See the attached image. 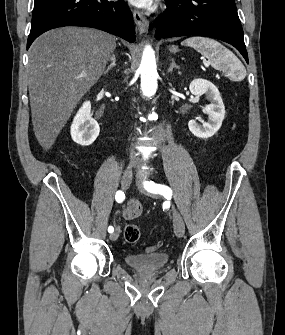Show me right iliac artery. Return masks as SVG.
I'll list each match as a JSON object with an SVG mask.
<instances>
[{
  "instance_id": "1",
  "label": "right iliac artery",
  "mask_w": 285,
  "mask_h": 335,
  "mask_svg": "<svg viewBox=\"0 0 285 335\" xmlns=\"http://www.w3.org/2000/svg\"><path fill=\"white\" fill-rule=\"evenodd\" d=\"M115 199H116V201L118 202V203H122L123 201H124V199H125V194H124V192H122V191H117L116 192V195H115ZM114 231V228L112 227V226H109L108 227V232L109 233H112Z\"/></svg>"
}]
</instances>
